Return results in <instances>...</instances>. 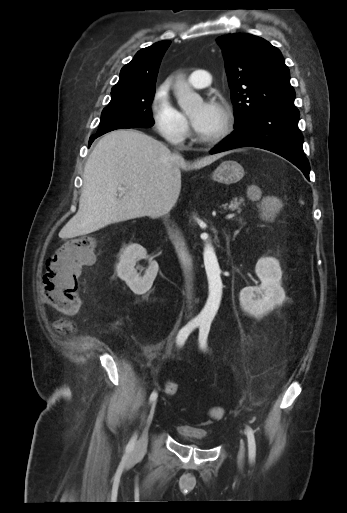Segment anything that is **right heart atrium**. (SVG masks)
I'll use <instances>...</instances> for the list:
<instances>
[{
  "label": "right heart atrium",
  "instance_id": "1",
  "mask_svg": "<svg viewBox=\"0 0 347 513\" xmlns=\"http://www.w3.org/2000/svg\"><path fill=\"white\" fill-rule=\"evenodd\" d=\"M150 115L155 131L169 144L179 146L190 134L187 117L172 102L170 85L162 82L150 102Z\"/></svg>",
  "mask_w": 347,
  "mask_h": 513
}]
</instances>
